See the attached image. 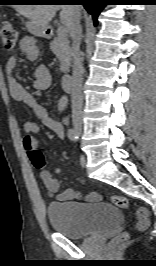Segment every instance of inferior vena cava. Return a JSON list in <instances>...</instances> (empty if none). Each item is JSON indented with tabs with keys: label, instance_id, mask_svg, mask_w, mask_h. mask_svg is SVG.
<instances>
[{
	"label": "inferior vena cava",
	"instance_id": "inferior-vena-cava-1",
	"mask_svg": "<svg viewBox=\"0 0 156 266\" xmlns=\"http://www.w3.org/2000/svg\"><path fill=\"white\" fill-rule=\"evenodd\" d=\"M81 14L78 5H72V23L70 27V35L72 38V56H73V73L71 80V102H72V119L73 122H81L82 119V82H83V67L80 53L81 43Z\"/></svg>",
	"mask_w": 156,
	"mask_h": 266
}]
</instances>
